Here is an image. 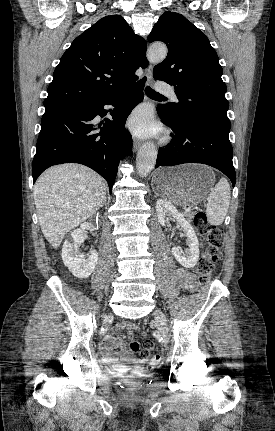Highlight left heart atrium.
<instances>
[{
  "instance_id": "left-heart-atrium-1",
  "label": "left heart atrium",
  "mask_w": 275,
  "mask_h": 431,
  "mask_svg": "<svg viewBox=\"0 0 275 431\" xmlns=\"http://www.w3.org/2000/svg\"><path fill=\"white\" fill-rule=\"evenodd\" d=\"M127 126L135 135L140 137L156 135L160 130L147 108L137 109L129 118Z\"/></svg>"
}]
</instances>
